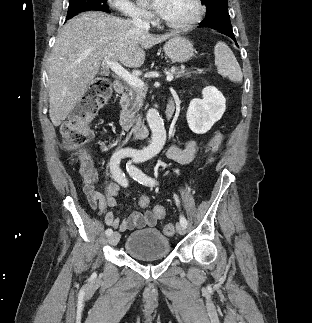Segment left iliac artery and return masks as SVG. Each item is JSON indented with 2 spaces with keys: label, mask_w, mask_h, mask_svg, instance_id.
<instances>
[{
  "label": "left iliac artery",
  "mask_w": 312,
  "mask_h": 323,
  "mask_svg": "<svg viewBox=\"0 0 312 323\" xmlns=\"http://www.w3.org/2000/svg\"><path fill=\"white\" fill-rule=\"evenodd\" d=\"M145 158H138L136 161H144ZM127 171L129 174L133 177L134 180L138 181L140 184L146 185V186H154L157 182L155 179L145 175L141 170L133 167L132 165H127ZM176 204H179V200L177 195L174 194ZM180 223L183 226H187V220L184 216H180Z\"/></svg>",
  "instance_id": "obj_1"
}]
</instances>
